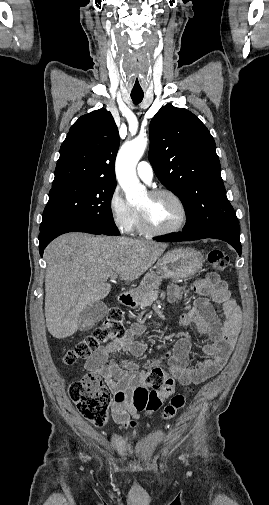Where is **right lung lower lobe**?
Segmentation results:
<instances>
[{
  "label": "right lung lower lobe",
  "instance_id": "obj_1",
  "mask_svg": "<svg viewBox=\"0 0 269 505\" xmlns=\"http://www.w3.org/2000/svg\"><path fill=\"white\" fill-rule=\"evenodd\" d=\"M67 232H86L91 234H104L98 230L88 228L85 226H81L75 223L69 222H57L53 224H49L43 229L40 230L39 235V251L40 255H43V251L46 246L57 236L67 233Z\"/></svg>",
  "mask_w": 269,
  "mask_h": 505
}]
</instances>
